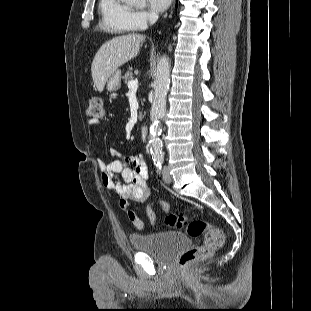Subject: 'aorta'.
Listing matches in <instances>:
<instances>
[{"label":"aorta","instance_id":"obj_1","mask_svg":"<svg viewBox=\"0 0 311 311\" xmlns=\"http://www.w3.org/2000/svg\"><path fill=\"white\" fill-rule=\"evenodd\" d=\"M130 5L142 6L145 0H123ZM170 84V60L166 55H163L156 69V79L154 81V99L150 111V134L149 146L152 158H162V140L160 135L162 132L161 119L166 112V95Z\"/></svg>","mask_w":311,"mask_h":311}]
</instances>
